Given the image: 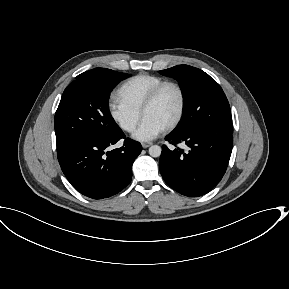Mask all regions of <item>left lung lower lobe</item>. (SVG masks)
Here are the masks:
<instances>
[{"label":"left lung lower lobe","instance_id":"1","mask_svg":"<svg viewBox=\"0 0 289 289\" xmlns=\"http://www.w3.org/2000/svg\"><path fill=\"white\" fill-rule=\"evenodd\" d=\"M165 139L174 145L185 142L189 147L185 153L162 146L159 168L171 188L182 195L198 197L220 182L230 159L232 134L194 129L185 133L172 132Z\"/></svg>","mask_w":289,"mask_h":289}]
</instances>
